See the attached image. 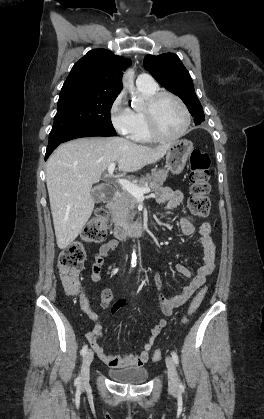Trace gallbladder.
<instances>
[{
  "label": "gallbladder",
  "mask_w": 264,
  "mask_h": 419,
  "mask_svg": "<svg viewBox=\"0 0 264 419\" xmlns=\"http://www.w3.org/2000/svg\"><path fill=\"white\" fill-rule=\"evenodd\" d=\"M105 187H97L92 190V197L95 202H101L102 201V194L106 192Z\"/></svg>",
  "instance_id": "gallbladder-1"
}]
</instances>
